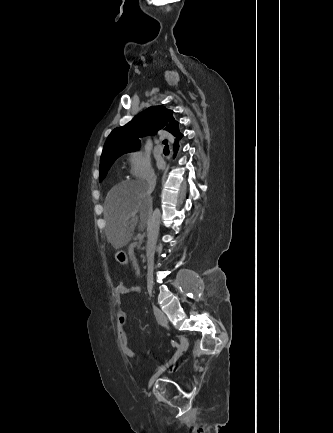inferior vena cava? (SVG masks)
<instances>
[{"label":"inferior vena cava","mask_w":333,"mask_h":433,"mask_svg":"<svg viewBox=\"0 0 333 433\" xmlns=\"http://www.w3.org/2000/svg\"><path fill=\"white\" fill-rule=\"evenodd\" d=\"M156 179L157 178H156L155 173L153 171L149 172V174L146 178L149 193H152L154 191L155 186H156ZM153 312H154V315H155L157 322L161 323V322L167 321V318L164 315V313L160 309H158L157 307H155V306L153 307Z\"/></svg>","instance_id":"602c4592"}]
</instances>
